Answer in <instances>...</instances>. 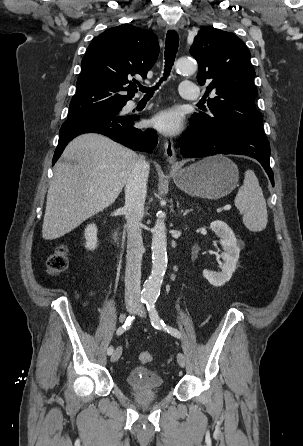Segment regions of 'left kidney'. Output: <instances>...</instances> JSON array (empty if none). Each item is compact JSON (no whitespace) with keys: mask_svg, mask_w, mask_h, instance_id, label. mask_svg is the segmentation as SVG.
<instances>
[{"mask_svg":"<svg viewBox=\"0 0 303 446\" xmlns=\"http://www.w3.org/2000/svg\"><path fill=\"white\" fill-rule=\"evenodd\" d=\"M210 228L218 237L221 238L220 243L224 250L221 257L225 263L222 266L221 272L205 269L203 271V275L209 281V283H211L213 286L219 287L223 286L231 279L239 259L240 248L233 231L225 222L220 220L213 221L210 224Z\"/></svg>","mask_w":303,"mask_h":446,"instance_id":"obj_1","label":"left kidney"}]
</instances>
